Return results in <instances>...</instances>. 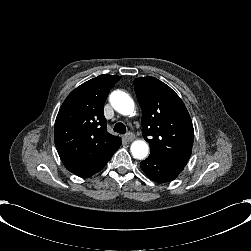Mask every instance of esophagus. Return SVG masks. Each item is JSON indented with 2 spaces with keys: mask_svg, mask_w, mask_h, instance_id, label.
Here are the masks:
<instances>
[{
  "mask_svg": "<svg viewBox=\"0 0 251 251\" xmlns=\"http://www.w3.org/2000/svg\"><path fill=\"white\" fill-rule=\"evenodd\" d=\"M125 138L127 139L128 142H131L134 140V135L132 133H128L125 135Z\"/></svg>",
  "mask_w": 251,
  "mask_h": 251,
  "instance_id": "1",
  "label": "esophagus"
}]
</instances>
